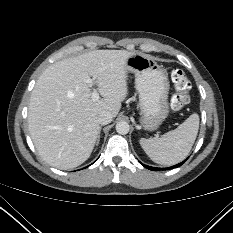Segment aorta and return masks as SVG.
<instances>
[{
  "instance_id": "762f6f07",
  "label": "aorta",
  "mask_w": 233,
  "mask_h": 233,
  "mask_svg": "<svg viewBox=\"0 0 233 233\" xmlns=\"http://www.w3.org/2000/svg\"><path fill=\"white\" fill-rule=\"evenodd\" d=\"M130 126L125 121H120L116 124V131L121 135H125L129 132Z\"/></svg>"
}]
</instances>
